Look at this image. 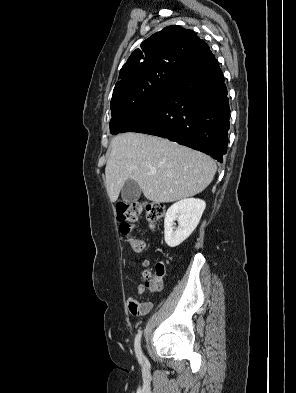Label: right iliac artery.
<instances>
[{
  "label": "right iliac artery",
  "mask_w": 296,
  "mask_h": 393,
  "mask_svg": "<svg viewBox=\"0 0 296 393\" xmlns=\"http://www.w3.org/2000/svg\"><path fill=\"white\" fill-rule=\"evenodd\" d=\"M141 335H142L141 331L136 335L135 342H134V348H135V353L138 358V361L140 363H143V354H142L141 345H140Z\"/></svg>",
  "instance_id": "obj_1"
}]
</instances>
